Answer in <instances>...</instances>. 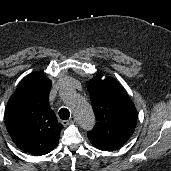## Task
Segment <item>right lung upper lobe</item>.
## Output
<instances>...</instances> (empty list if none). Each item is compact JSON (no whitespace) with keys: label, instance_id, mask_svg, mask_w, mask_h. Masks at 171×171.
<instances>
[{"label":"right lung upper lobe","instance_id":"obj_1","mask_svg":"<svg viewBox=\"0 0 171 171\" xmlns=\"http://www.w3.org/2000/svg\"><path fill=\"white\" fill-rule=\"evenodd\" d=\"M51 84L41 72L29 74L20 82L5 110V124L13 142L35 156L53 150L63 128L49 107Z\"/></svg>","mask_w":171,"mask_h":171}]
</instances>
